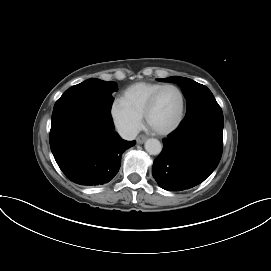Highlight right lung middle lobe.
I'll list each match as a JSON object with an SVG mask.
<instances>
[{
	"label": "right lung middle lobe",
	"instance_id": "dd1d6c3e",
	"mask_svg": "<svg viewBox=\"0 0 271 271\" xmlns=\"http://www.w3.org/2000/svg\"><path fill=\"white\" fill-rule=\"evenodd\" d=\"M115 82H105L98 79H88L70 87L56 101L53 112L78 105L102 103L111 108L114 98L112 93L117 91Z\"/></svg>",
	"mask_w": 271,
	"mask_h": 271
}]
</instances>
